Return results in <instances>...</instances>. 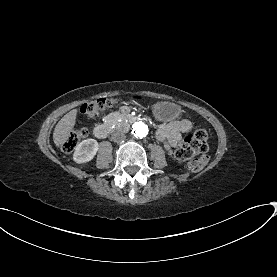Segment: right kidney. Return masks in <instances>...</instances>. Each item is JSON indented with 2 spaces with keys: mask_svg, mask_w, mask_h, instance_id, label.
I'll list each match as a JSON object with an SVG mask.
<instances>
[{
  "mask_svg": "<svg viewBox=\"0 0 277 277\" xmlns=\"http://www.w3.org/2000/svg\"><path fill=\"white\" fill-rule=\"evenodd\" d=\"M99 143L96 139H85L76 145L73 153V161L76 164L91 162L97 155Z\"/></svg>",
  "mask_w": 277,
  "mask_h": 277,
  "instance_id": "1",
  "label": "right kidney"
}]
</instances>
